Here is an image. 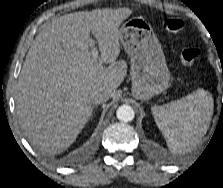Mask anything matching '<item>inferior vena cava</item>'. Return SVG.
Segmentation results:
<instances>
[{
	"instance_id": "inferior-vena-cava-1",
	"label": "inferior vena cava",
	"mask_w": 223,
	"mask_h": 188,
	"mask_svg": "<svg viewBox=\"0 0 223 188\" xmlns=\"http://www.w3.org/2000/svg\"><path fill=\"white\" fill-rule=\"evenodd\" d=\"M109 97V93L106 90L100 88L91 92L90 100L94 104H100L106 102Z\"/></svg>"
}]
</instances>
